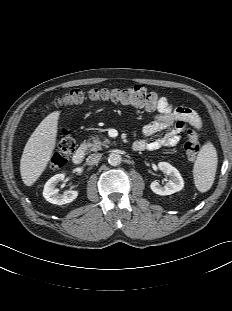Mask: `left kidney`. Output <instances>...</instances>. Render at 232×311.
<instances>
[{
	"mask_svg": "<svg viewBox=\"0 0 232 311\" xmlns=\"http://www.w3.org/2000/svg\"><path fill=\"white\" fill-rule=\"evenodd\" d=\"M159 170L169 176L168 182L161 186L157 181H153L150 185L151 190L158 195H171L178 192L184 187V180L179 171L167 162H160L158 164Z\"/></svg>",
	"mask_w": 232,
	"mask_h": 311,
	"instance_id": "obj_1",
	"label": "left kidney"
}]
</instances>
